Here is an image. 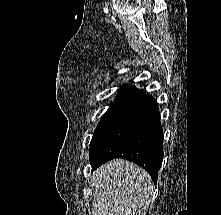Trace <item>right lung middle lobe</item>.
I'll use <instances>...</instances> for the list:
<instances>
[{
  "label": "right lung middle lobe",
  "mask_w": 221,
  "mask_h": 215,
  "mask_svg": "<svg viewBox=\"0 0 221 215\" xmlns=\"http://www.w3.org/2000/svg\"><path fill=\"white\" fill-rule=\"evenodd\" d=\"M131 101H116L111 104L107 112L101 118L90 142L89 155L93 153L99 143L104 139L120 116L130 105Z\"/></svg>",
  "instance_id": "dd1d6c3e"
}]
</instances>
